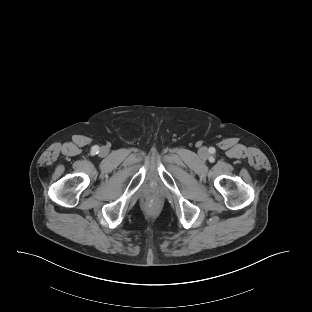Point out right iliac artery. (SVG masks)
I'll use <instances>...</instances> for the list:
<instances>
[{"label":"right iliac artery","instance_id":"82829eb1","mask_svg":"<svg viewBox=\"0 0 312 312\" xmlns=\"http://www.w3.org/2000/svg\"><path fill=\"white\" fill-rule=\"evenodd\" d=\"M98 150H99V148H98L97 146H95V147L93 148V151H94L95 153H98Z\"/></svg>","mask_w":312,"mask_h":312}]
</instances>
